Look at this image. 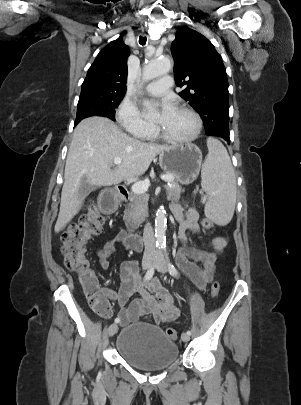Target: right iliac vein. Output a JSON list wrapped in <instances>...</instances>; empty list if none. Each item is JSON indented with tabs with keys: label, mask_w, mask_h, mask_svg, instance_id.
<instances>
[{
	"label": "right iliac vein",
	"mask_w": 301,
	"mask_h": 405,
	"mask_svg": "<svg viewBox=\"0 0 301 405\" xmlns=\"http://www.w3.org/2000/svg\"><path fill=\"white\" fill-rule=\"evenodd\" d=\"M151 261H152V257L150 255L144 257V259L142 261V267L144 270H146L150 267ZM117 331H118V325L111 324L107 330V335L111 337L114 334H116Z\"/></svg>",
	"instance_id": "right-iliac-vein-1"
}]
</instances>
